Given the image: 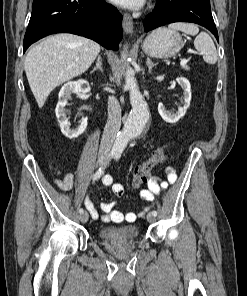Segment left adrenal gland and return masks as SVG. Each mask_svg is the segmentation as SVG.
Segmentation results:
<instances>
[{"instance_id": "obj_1", "label": "left adrenal gland", "mask_w": 247, "mask_h": 296, "mask_svg": "<svg viewBox=\"0 0 247 296\" xmlns=\"http://www.w3.org/2000/svg\"><path fill=\"white\" fill-rule=\"evenodd\" d=\"M147 66H148V71H149V73H151L152 68H153L154 66H156V64H154V63L151 61L150 58H147Z\"/></svg>"}]
</instances>
